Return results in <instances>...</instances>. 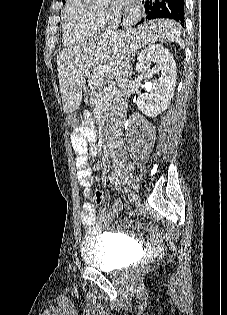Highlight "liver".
Here are the masks:
<instances>
[{
	"label": "liver",
	"mask_w": 227,
	"mask_h": 315,
	"mask_svg": "<svg viewBox=\"0 0 227 315\" xmlns=\"http://www.w3.org/2000/svg\"><path fill=\"white\" fill-rule=\"evenodd\" d=\"M180 36L179 23L170 19H157L126 31H118L114 38L102 35L62 50L57 55V70L64 112L71 114L79 109L85 79L90 73L112 79L124 59L130 62L138 49L150 43L176 42L184 48Z\"/></svg>",
	"instance_id": "1"
}]
</instances>
